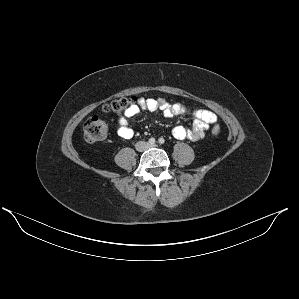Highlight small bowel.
Here are the masks:
<instances>
[{
	"mask_svg": "<svg viewBox=\"0 0 299 299\" xmlns=\"http://www.w3.org/2000/svg\"><path fill=\"white\" fill-rule=\"evenodd\" d=\"M145 109L153 113L161 111L167 117L192 116L194 121L190 128L176 126L172 129V135L180 140H199L204 136L205 130L217 122V116L211 111L203 109L191 111L184 105L180 103H170L163 97L157 99L150 98L140 101L139 104L132 106L124 115L118 118L117 134L121 138L131 139L134 137L135 132L129 120Z\"/></svg>",
	"mask_w": 299,
	"mask_h": 299,
	"instance_id": "c3829d8e",
	"label": "small bowel"
}]
</instances>
